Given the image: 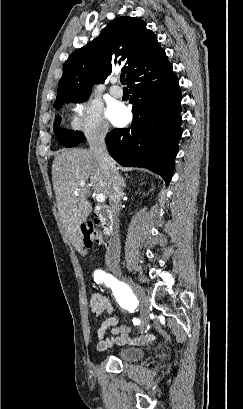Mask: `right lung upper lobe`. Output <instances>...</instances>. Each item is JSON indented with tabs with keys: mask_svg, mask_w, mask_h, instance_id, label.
Wrapping results in <instances>:
<instances>
[{
	"mask_svg": "<svg viewBox=\"0 0 243 409\" xmlns=\"http://www.w3.org/2000/svg\"><path fill=\"white\" fill-rule=\"evenodd\" d=\"M130 87L171 66L157 36L140 18L121 16L100 36L78 49L63 65L55 104L87 99L92 85L103 82L117 67ZM54 104V105H55Z\"/></svg>",
	"mask_w": 243,
	"mask_h": 409,
	"instance_id": "cb5924a9",
	"label": "right lung upper lobe"
}]
</instances>
